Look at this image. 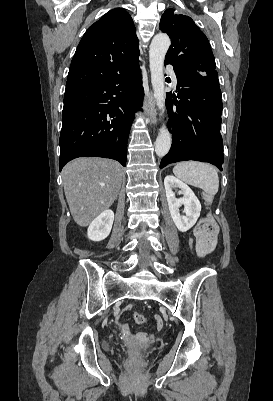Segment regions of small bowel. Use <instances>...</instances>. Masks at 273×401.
<instances>
[{
    "label": "small bowel",
    "instance_id": "small-bowel-1",
    "mask_svg": "<svg viewBox=\"0 0 273 401\" xmlns=\"http://www.w3.org/2000/svg\"><path fill=\"white\" fill-rule=\"evenodd\" d=\"M194 234L197 236V234H196V230H194ZM192 244H193V241H192V239H190L189 240V245L190 246H192ZM214 244H215V241H198V239H197V242H196V249H197V253H198V255L199 256H201V257H204V256H206L207 254H209L211 251H212V249H213V247H214ZM123 311L124 312H131L132 311V308L131 307H124L123 308ZM154 316L155 317H158L159 316V313L158 312H155L154 313ZM135 318V317H134ZM135 321H139L138 319H135ZM142 321H145V319H143ZM155 327L157 328V329H160L161 327H162V324H163V319L162 318H157L156 320H155ZM159 331V330H158ZM122 337L123 338H125V339H127V338H129L130 337V332H129V329H128V327L126 326V327H124L123 329H122ZM149 332L148 331H143L141 334H137V338L138 339H142V338H148L149 337Z\"/></svg>",
    "mask_w": 273,
    "mask_h": 401
}]
</instances>
